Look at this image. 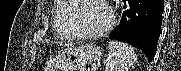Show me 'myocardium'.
I'll return each mask as SVG.
<instances>
[{"instance_id":"f54148a6","label":"myocardium","mask_w":181,"mask_h":71,"mask_svg":"<svg viewBox=\"0 0 181 71\" xmlns=\"http://www.w3.org/2000/svg\"><path fill=\"white\" fill-rule=\"evenodd\" d=\"M66 2L71 3L72 5V12L70 15V25L75 33L76 37L79 39H84V40H97L100 38H103L110 34L113 29L116 26L117 23V16H116V11L114 6L107 0H101L109 9L110 11V21L108 25L101 31L98 32H87L85 30H82L79 25H78V16L81 11V4L79 3L78 0H63Z\"/></svg>"}]
</instances>
